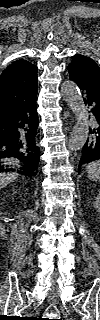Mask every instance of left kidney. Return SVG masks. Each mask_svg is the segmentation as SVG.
Segmentation results:
<instances>
[{
    "label": "left kidney",
    "instance_id": "5707ae66",
    "mask_svg": "<svg viewBox=\"0 0 100 320\" xmlns=\"http://www.w3.org/2000/svg\"><path fill=\"white\" fill-rule=\"evenodd\" d=\"M94 207L97 210L100 208V197L98 195L95 197Z\"/></svg>",
    "mask_w": 100,
    "mask_h": 320
}]
</instances>
